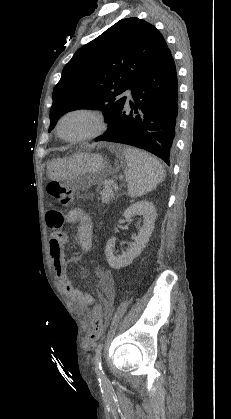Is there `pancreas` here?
I'll return each instance as SVG.
<instances>
[{"label": "pancreas", "mask_w": 231, "mask_h": 419, "mask_svg": "<svg viewBox=\"0 0 231 419\" xmlns=\"http://www.w3.org/2000/svg\"><path fill=\"white\" fill-rule=\"evenodd\" d=\"M113 197H114L113 190L105 186L103 191L101 192V201L103 203L108 204Z\"/></svg>", "instance_id": "cf45deb5"}]
</instances>
